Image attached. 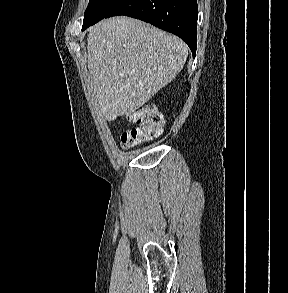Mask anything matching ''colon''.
<instances>
[{"label": "colon", "instance_id": "obj_1", "mask_svg": "<svg viewBox=\"0 0 288 293\" xmlns=\"http://www.w3.org/2000/svg\"><path fill=\"white\" fill-rule=\"evenodd\" d=\"M134 126L121 136L124 148L138 146L162 133L163 117L152 106H144L127 116Z\"/></svg>", "mask_w": 288, "mask_h": 293}]
</instances>
